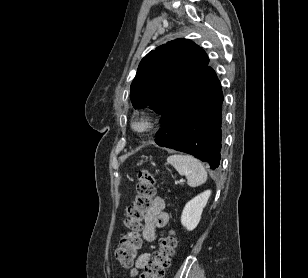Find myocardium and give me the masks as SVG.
<instances>
[{
	"label": "myocardium",
	"instance_id": "f54148a6",
	"mask_svg": "<svg viewBox=\"0 0 308 278\" xmlns=\"http://www.w3.org/2000/svg\"><path fill=\"white\" fill-rule=\"evenodd\" d=\"M130 126L132 131L138 136H148L154 131L156 121L149 114H140L134 117Z\"/></svg>",
	"mask_w": 308,
	"mask_h": 278
}]
</instances>
